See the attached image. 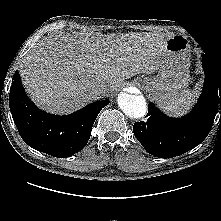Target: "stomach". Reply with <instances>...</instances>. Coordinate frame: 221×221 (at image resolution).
Wrapping results in <instances>:
<instances>
[{
	"label": "stomach",
	"mask_w": 221,
	"mask_h": 221,
	"mask_svg": "<svg viewBox=\"0 0 221 221\" xmlns=\"http://www.w3.org/2000/svg\"><path fill=\"white\" fill-rule=\"evenodd\" d=\"M167 56L157 75L142 81L159 106L179 103L187 94L189 81V40L183 35H174L166 41Z\"/></svg>",
	"instance_id": "0dacf381"
}]
</instances>
